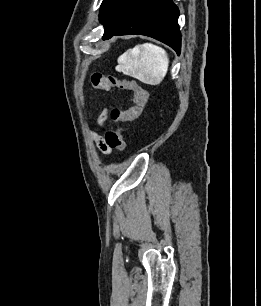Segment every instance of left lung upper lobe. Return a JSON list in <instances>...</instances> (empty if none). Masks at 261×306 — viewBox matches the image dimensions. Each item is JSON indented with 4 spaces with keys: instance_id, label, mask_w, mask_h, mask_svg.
<instances>
[{
    "instance_id": "obj_1",
    "label": "left lung upper lobe",
    "mask_w": 261,
    "mask_h": 306,
    "mask_svg": "<svg viewBox=\"0 0 261 306\" xmlns=\"http://www.w3.org/2000/svg\"><path fill=\"white\" fill-rule=\"evenodd\" d=\"M133 0H103L99 19L104 25V34L112 31L124 10Z\"/></svg>"
}]
</instances>
